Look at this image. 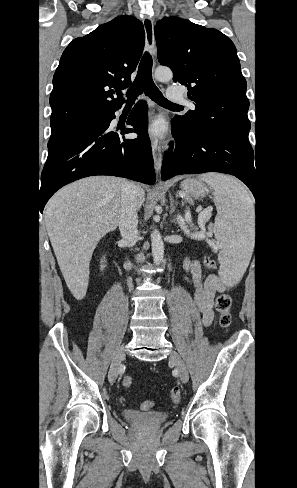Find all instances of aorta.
Masks as SVG:
<instances>
[{
    "mask_svg": "<svg viewBox=\"0 0 297 488\" xmlns=\"http://www.w3.org/2000/svg\"><path fill=\"white\" fill-rule=\"evenodd\" d=\"M155 78L162 82L170 81L173 78V73L167 67H157L155 70ZM151 246L153 261L155 264H160L164 257V243L157 229L151 234Z\"/></svg>",
    "mask_w": 297,
    "mask_h": 488,
    "instance_id": "1",
    "label": "aorta"
}]
</instances>
